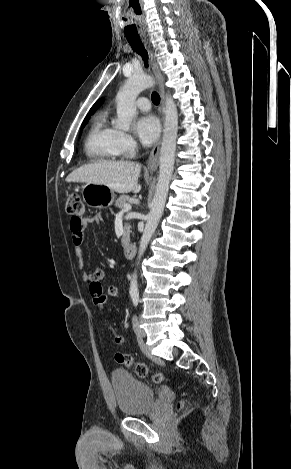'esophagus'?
Segmentation results:
<instances>
[{"instance_id":"obj_1","label":"esophagus","mask_w":291,"mask_h":469,"mask_svg":"<svg viewBox=\"0 0 291 469\" xmlns=\"http://www.w3.org/2000/svg\"><path fill=\"white\" fill-rule=\"evenodd\" d=\"M144 43H145V46L147 47L148 49V53H149V57H150V61H151V66H152V70L154 72V75L157 79V82L159 84V88H160V96H161V105H160V112H161V115H162V119H164V112H165V104H164V87H163V83H164V79H163V75L161 73V70L159 68V65H158V62L156 60V57L151 49V46H150V43L147 39H144L143 40ZM160 144L161 142L159 141L152 149L150 155H149V158L147 160V167L148 168H156L158 166V160H159V151H160Z\"/></svg>"}]
</instances>
